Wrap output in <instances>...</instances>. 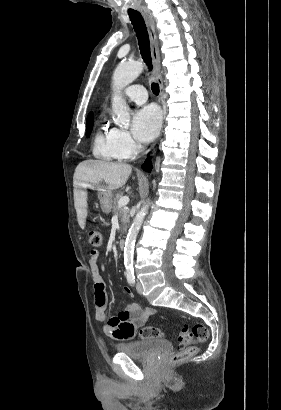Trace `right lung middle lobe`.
<instances>
[{
    "label": "right lung middle lobe",
    "instance_id": "dd1d6c3e",
    "mask_svg": "<svg viewBox=\"0 0 281 410\" xmlns=\"http://www.w3.org/2000/svg\"><path fill=\"white\" fill-rule=\"evenodd\" d=\"M93 121H94L93 116L87 117V120H86V136L87 137H89L91 134V130L93 127Z\"/></svg>",
    "mask_w": 281,
    "mask_h": 410
}]
</instances>
